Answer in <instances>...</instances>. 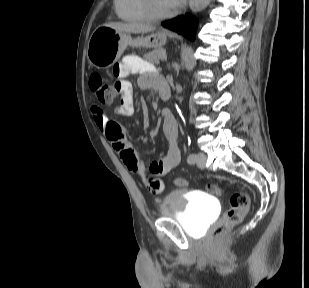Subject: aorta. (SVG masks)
<instances>
[{"label":"aorta","instance_id":"obj_1","mask_svg":"<svg viewBox=\"0 0 309 288\" xmlns=\"http://www.w3.org/2000/svg\"><path fill=\"white\" fill-rule=\"evenodd\" d=\"M212 0H189V7L193 12H200L205 9Z\"/></svg>","mask_w":309,"mask_h":288}]
</instances>
